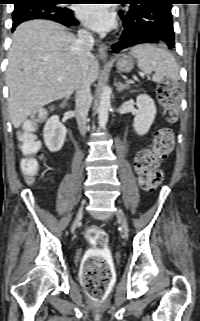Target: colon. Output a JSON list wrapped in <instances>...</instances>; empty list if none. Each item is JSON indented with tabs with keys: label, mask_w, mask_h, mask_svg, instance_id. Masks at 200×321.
I'll return each mask as SVG.
<instances>
[{
	"label": "colon",
	"mask_w": 200,
	"mask_h": 321,
	"mask_svg": "<svg viewBox=\"0 0 200 321\" xmlns=\"http://www.w3.org/2000/svg\"><path fill=\"white\" fill-rule=\"evenodd\" d=\"M180 92V85L174 80H165L158 86L157 98L169 123H175L178 119ZM44 117L43 111H37L18 132L19 148L23 155L21 170L29 182L33 180L40 166L38 154L41 144L37 138V129ZM173 146V132L169 128H161L155 134L151 145L136 156L135 169L144 190L153 191L160 184V164L171 153ZM85 238L91 249L82 263L81 282L93 299L102 300L107 294L112 274L107 253L108 234L97 226H91L86 230Z\"/></svg>",
	"instance_id": "1"
}]
</instances>
